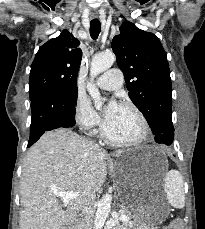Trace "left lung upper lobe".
<instances>
[{
    "label": "left lung upper lobe",
    "mask_w": 205,
    "mask_h": 229,
    "mask_svg": "<svg viewBox=\"0 0 205 229\" xmlns=\"http://www.w3.org/2000/svg\"><path fill=\"white\" fill-rule=\"evenodd\" d=\"M124 73L129 97L146 118L157 143L171 145V78L158 37L125 21L111 45Z\"/></svg>",
    "instance_id": "left-lung-upper-lobe-1"
}]
</instances>
